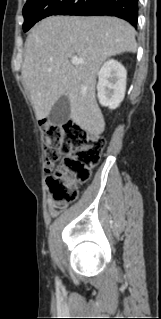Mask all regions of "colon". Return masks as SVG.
Masks as SVG:
<instances>
[{
    "mask_svg": "<svg viewBox=\"0 0 161 319\" xmlns=\"http://www.w3.org/2000/svg\"><path fill=\"white\" fill-rule=\"evenodd\" d=\"M42 138L53 210L62 212L75 201L80 185L88 181L90 170L98 163L105 147V140L72 122L43 124ZM61 155H64L63 162L54 169L53 163Z\"/></svg>",
    "mask_w": 161,
    "mask_h": 319,
    "instance_id": "5ec220e1",
    "label": "colon"
}]
</instances>
